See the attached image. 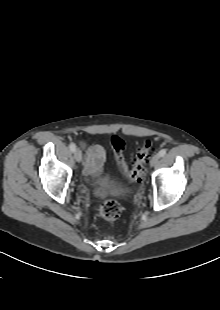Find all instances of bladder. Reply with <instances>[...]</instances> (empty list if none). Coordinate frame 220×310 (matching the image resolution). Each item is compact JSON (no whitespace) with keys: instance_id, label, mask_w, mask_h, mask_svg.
<instances>
[{"instance_id":"obj_1","label":"bladder","mask_w":220,"mask_h":310,"mask_svg":"<svg viewBox=\"0 0 220 310\" xmlns=\"http://www.w3.org/2000/svg\"><path fill=\"white\" fill-rule=\"evenodd\" d=\"M112 189L116 192H121L124 190V187L120 183L115 182Z\"/></svg>"}]
</instances>
